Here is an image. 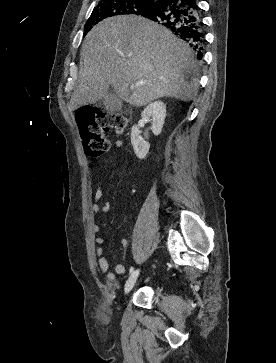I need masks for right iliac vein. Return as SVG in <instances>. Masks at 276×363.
<instances>
[{
  "label": "right iliac vein",
  "instance_id": "right-iliac-vein-1",
  "mask_svg": "<svg viewBox=\"0 0 276 363\" xmlns=\"http://www.w3.org/2000/svg\"><path fill=\"white\" fill-rule=\"evenodd\" d=\"M138 276H139V270L137 269L128 278V280L125 284V287H124V294H128L132 290V288L134 287V285L136 283Z\"/></svg>",
  "mask_w": 276,
  "mask_h": 363
}]
</instances>
